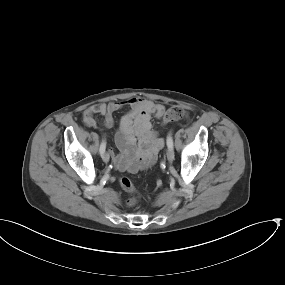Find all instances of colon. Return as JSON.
I'll return each mask as SVG.
<instances>
[{
  "mask_svg": "<svg viewBox=\"0 0 285 285\" xmlns=\"http://www.w3.org/2000/svg\"><path fill=\"white\" fill-rule=\"evenodd\" d=\"M157 112L162 114V121L166 123L182 118V116L184 115V108L180 105H174L169 109H167L166 111H164L162 108H158ZM119 185L128 192L135 191L132 181L130 180V178L126 176H121L119 178ZM135 202H136L135 199H131L128 202V204L132 206L135 204Z\"/></svg>",
  "mask_w": 285,
  "mask_h": 285,
  "instance_id": "1",
  "label": "colon"
}]
</instances>
